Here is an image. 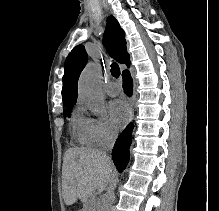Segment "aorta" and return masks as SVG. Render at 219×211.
<instances>
[{
  "instance_id": "1",
  "label": "aorta",
  "mask_w": 219,
  "mask_h": 211,
  "mask_svg": "<svg viewBox=\"0 0 219 211\" xmlns=\"http://www.w3.org/2000/svg\"><path fill=\"white\" fill-rule=\"evenodd\" d=\"M99 69L94 63H88L78 81V92L82 101L96 115L104 113V95L99 85ZM115 192L109 190L100 200L97 211H110L115 201Z\"/></svg>"
}]
</instances>
